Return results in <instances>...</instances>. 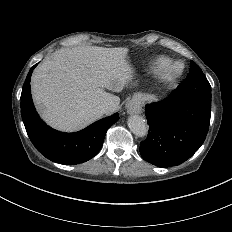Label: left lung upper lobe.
<instances>
[{
  "instance_id": "left-lung-upper-lobe-1",
  "label": "left lung upper lobe",
  "mask_w": 232,
  "mask_h": 232,
  "mask_svg": "<svg viewBox=\"0 0 232 232\" xmlns=\"http://www.w3.org/2000/svg\"><path fill=\"white\" fill-rule=\"evenodd\" d=\"M181 92L196 96L206 103H211V86L200 67L190 61V70L186 79L179 85Z\"/></svg>"
}]
</instances>
